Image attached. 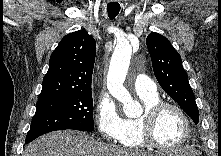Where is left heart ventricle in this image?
Listing matches in <instances>:
<instances>
[{"instance_id": "b2bd125f", "label": "left heart ventricle", "mask_w": 221, "mask_h": 156, "mask_svg": "<svg viewBox=\"0 0 221 156\" xmlns=\"http://www.w3.org/2000/svg\"><path fill=\"white\" fill-rule=\"evenodd\" d=\"M185 134V124L181 116L173 109L165 110L155 126L156 140L165 146H175Z\"/></svg>"}]
</instances>
